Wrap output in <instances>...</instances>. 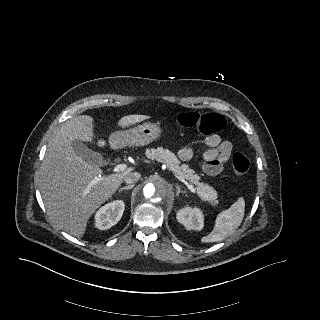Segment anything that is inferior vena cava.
<instances>
[{"label": "inferior vena cava", "instance_id": "obj_1", "mask_svg": "<svg viewBox=\"0 0 320 320\" xmlns=\"http://www.w3.org/2000/svg\"><path fill=\"white\" fill-rule=\"evenodd\" d=\"M141 177V174L138 172H130L124 177V181L127 184L136 183Z\"/></svg>", "mask_w": 320, "mask_h": 320}]
</instances>
